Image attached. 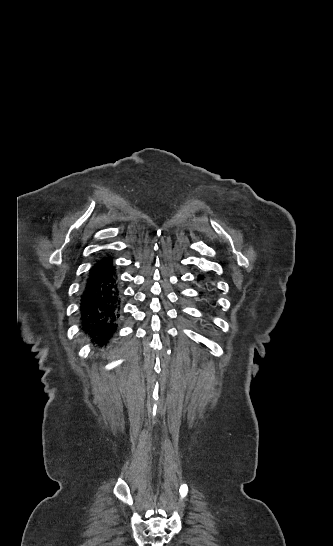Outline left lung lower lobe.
I'll return each mask as SVG.
<instances>
[{
    "label": "left lung lower lobe",
    "mask_w": 333,
    "mask_h": 546,
    "mask_svg": "<svg viewBox=\"0 0 333 546\" xmlns=\"http://www.w3.org/2000/svg\"><path fill=\"white\" fill-rule=\"evenodd\" d=\"M198 277H199V280H202V279H203V276H201V275H199ZM200 294H203V292H200ZM205 297H206V295H205ZM207 297H208V296H207Z\"/></svg>",
    "instance_id": "left-lung-lower-lobe-1"
}]
</instances>
